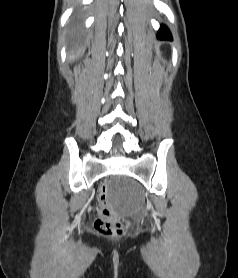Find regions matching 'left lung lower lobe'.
<instances>
[{
  "mask_svg": "<svg viewBox=\"0 0 238 278\" xmlns=\"http://www.w3.org/2000/svg\"><path fill=\"white\" fill-rule=\"evenodd\" d=\"M158 37L159 38L171 39V34L166 27L162 26L161 29L158 32Z\"/></svg>",
  "mask_w": 238,
  "mask_h": 278,
  "instance_id": "0a47b994",
  "label": "left lung lower lobe"
}]
</instances>
